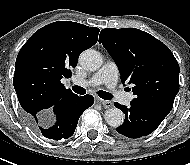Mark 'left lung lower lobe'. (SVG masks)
I'll list each match as a JSON object with an SVG mask.
<instances>
[{"mask_svg":"<svg viewBox=\"0 0 190 165\" xmlns=\"http://www.w3.org/2000/svg\"><path fill=\"white\" fill-rule=\"evenodd\" d=\"M114 105L125 113V121L116 131L129 138L149 135L171 111L163 107L137 104L132 101L129 107L117 102Z\"/></svg>","mask_w":190,"mask_h":165,"instance_id":"1","label":"left lung lower lobe"}]
</instances>
